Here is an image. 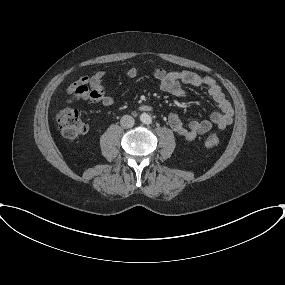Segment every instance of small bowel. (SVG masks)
<instances>
[{
    "mask_svg": "<svg viewBox=\"0 0 285 285\" xmlns=\"http://www.w3.org/2000/svg\"><path fill=\"white\" fill-rule=\"evenodd\" d=\"M129 77H136L141 73L140 69L131 67L127 69ZM104 71H98L91 76H83L72 82L66 93L71 101L86 99L91 103H98L105 106H111L114 100L107 95L102 83ZM152 75L158 80L162 91L172 94L176 97H186L183 85L206 88L210 97L218 107V111L213 112L208 120H194L185 127L176 113H171L168 118L170 127L186 141H193L213 127L217 130H223L233 121L234 111L230 102L225 97L220 85L211 76H200L192 71H167L165 69H155Z\"/></svg>",
    "mask_w": 285,
    "mask_h": 285,
    "instance_id": "1",
    "label": "small bowel"
}]
</instances>
